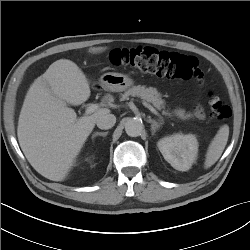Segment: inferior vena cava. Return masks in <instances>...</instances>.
I'll return each instance as SVG.
<instances>
[{"mask_svg":"<svg viewBox=\"0 0 250 250\" xmlns=\"http://www.w3.org/2000/svg\"><path fill=\"white\" fill-rule=\"evenodd\" d=\"M116 123V117L113 114H104L98 117L96 125L100 129H110Z\"/></svg>","mask_w":250,"mask_h":250,"instance_id":"obj_1","label":"inferior vena cava"}]
</instances>
